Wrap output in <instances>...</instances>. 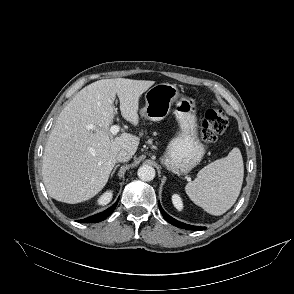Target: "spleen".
Here are the masks:
<instances>
[{
  "label": "spleen",
  "mask_w": 294,
  "mask_h": 294,
  "mask_svg": "<svg viewBox=\"0 0 294 294\" xmlns=\"http://www.w3.org/2000/svg\"><path fill=\"white\" fill-rule=\"evenodd\" d=\"M241 152L233 148L227 157L205 166L197 178L185 186L189 198L206 212L222 215L236 202L243 183Z\"/></svg>",
  "instance_id": "obj_1"
}]
</instances>
